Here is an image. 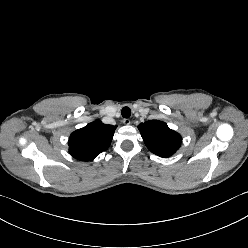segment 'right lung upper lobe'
Wrapping results in <instances>:
<instances>
[{"label":"right lung upper lobe","instance_id":"cb5924a9","mask_svg":"<svg viewBox=\"0 0 248 248\" xmlns=\"http://www.w3.org/2000/svg\"><path fill=\"white\" fill-rule=\"evenodd\" d=\"M116 126L96 120L74 131L69 138V153L76 159L91 161L111 144Z\"/></svg>","mask_w":248,"mask_h":248}]
</instances>
